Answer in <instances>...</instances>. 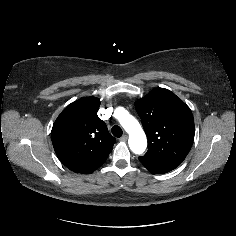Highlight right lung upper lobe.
<instances>
[{
	"label": "right lung upper lobe",
	"mask_w": 236,
	"mask_h": 236,
	"mask_svg": "<svg viewBox=\"0 0 236 236\" xmlns=\"http://www.w3.org/2000/svg\"><path fill=\"white\" fill-rule=\"evenodd\" d=\"M96 97L79 99L67 106L55 120L51 139L59 160L76 173L91 174L109 156L115 138L97 116Z\"/></svg>",
	"instance_id": "1"
}]
</instances>
